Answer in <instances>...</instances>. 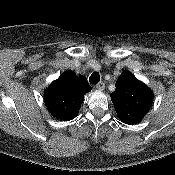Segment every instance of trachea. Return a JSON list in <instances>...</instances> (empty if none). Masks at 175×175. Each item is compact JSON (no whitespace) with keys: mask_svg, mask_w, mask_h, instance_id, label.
Instances as JSON below:
<instances>
[{"mask_svg":"<svg viewBox=\"0 0 175 175\" xmlns=\"http://www.w3.org/2000/svg\"><path fill=\"white\" fill-rule=\"evenodd\" d=\"M100 81V75L98 72H93L89 77V82L91 84H97Z\"/></svg>","mask_w":175,"mask_h":175,"instance_id":"3493384b","label":"trachea"}]
</instances>
